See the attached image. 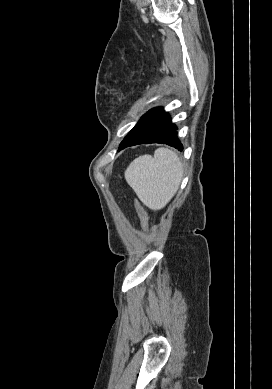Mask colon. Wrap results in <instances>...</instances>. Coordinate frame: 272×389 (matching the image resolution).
Instances as JSON below:
<instances>
[{"label": "colon", "instance_id": "5ec220e1", "mask_svg": "<svg viewBox=\"0 0 272 389\" xmlns=\"http://www.w3.org/2000/svg\"><path fill=\"white\" fill-rule=\"evenodd\" d=\"M137 210H138V213L142 219V222L144 224L145 227H149V217L147 215V213L145 212V210L141 207V206H137Z\"/></svg>", "mask_w": 272, "mask_h": 389}]
</instances>
